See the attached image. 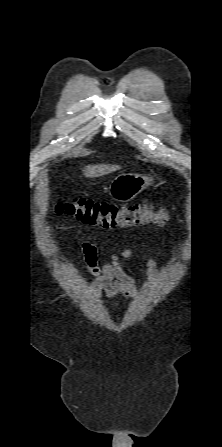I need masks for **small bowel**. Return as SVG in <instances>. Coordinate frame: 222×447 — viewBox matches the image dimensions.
<instances>
[{"mask_svg":"<svg viewBox=\"0 0 222 447\" xmlns=\"http://www.w3.org/2000/svg\"><path fill=\"white\" fill-rule=\"evenodd\" d=\"M82 249L85 256L84 267L94 276L91 288L96 298H99L102 293H105L108 297L119 299L137 297V282L119 263L121 258L131 256L130 250L115 254L108 263L100 264L97 249L91 242H83ZM147 276V280L143 282V287L150 292L157 277V262L152 256L147 258Z\"/></svg>","mask_w":222,"mask_h":447,"instance_id":"small-bowel-1","label":"small bowel"}]
</instances>
